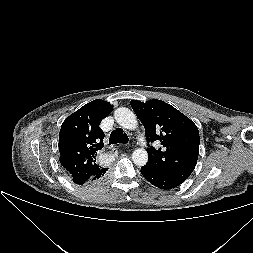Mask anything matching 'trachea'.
I'll list each match as a JSON object with an SVG mask.
<instances>
[{"label":"trachea","mask_w":253,"mask_h":253,"mask_svg":"<svg viewBox=\"0 0 253 253\" xmlns=\"http://www.w3.org/2000/svg\"><path fill=\"white\" fill-rule=\"evenodd\" d=\"M117 143H128V136L121 128H117L112 131L109 138V144H117Z\"/></svg>","instance_id":"1"}]
</instances>
